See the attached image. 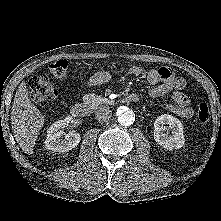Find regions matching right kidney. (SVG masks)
I'll list each match as a JSON object with an SVG mask.
<instances>
[{
  "instance_id": "1",
  "label": "right kidney",
  "mask_w": 221,
  "mask_h": 221,
  "mask_svg": "<svg viewBox=\"0 0 221 221\" xmlns=\"http://www.w3.org/2000/svg\"><path fill=\"white\" fill-rule=\"evenodd\" d=\"M72 117H66L63 120L54 122L47 130V137L45 140V146L48 150L53 152H67L75 148L80 140V134L71 132L65 134L63 128L67 127L69 123H73Z\"/></svg>"
}]
</instances>
